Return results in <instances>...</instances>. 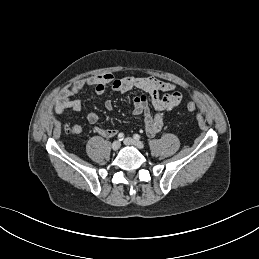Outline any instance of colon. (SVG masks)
Wrapping results in <instances>:
<instances>
[{
	"instance_id": "5ec220e1",
	"label": "colon",
	"mask_w": 259,
	"mask_h": 259,
	"mask_svg": "<svg viewBox=\"0 0 259 259\" xmlns=\"http://www.w3.org/2000/svg\"><path fill=\"white\" fill-rule=\"evenodd\" d=\"M186 109L188 112H193L196 110V104L194 102H189L187 105H186ZM67 130H69V128L67 127Z\"/></svg>"
}]
</instances>
